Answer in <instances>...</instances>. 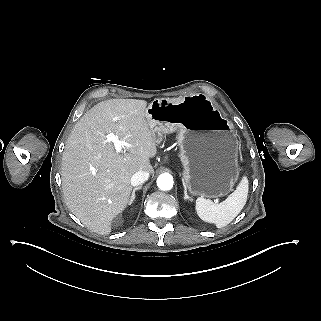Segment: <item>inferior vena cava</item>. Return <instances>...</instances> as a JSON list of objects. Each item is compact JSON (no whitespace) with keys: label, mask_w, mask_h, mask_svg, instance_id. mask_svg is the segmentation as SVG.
Instances as JSON below:
<instances>
[{"label":"inferior vena cava","mask_w":321,"mask_h":321,"mask_svg":"<svg viewBox=\"0 0 321 321\" xmlns=\"http://www.w3.org/2000/svg\"><path fill=\"white\" fill-rule=\"evenodd\" d=\"M149 178V173L146 171H138L131 177V184L133 186L142 185Z\"/></svg>","instance_id":"602c4592"}]
</instances>
